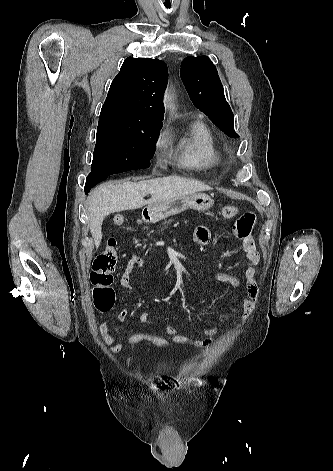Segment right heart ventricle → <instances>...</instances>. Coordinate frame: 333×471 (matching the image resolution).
I'll use <instances>...</instances> for the list:
<instances>
[{
  "label": "right heart ventricle",
  "mask_w": 333,
  "mask_h": 471,
  "mask_svg": "<svg viewBox=\"0 0 333 471\" xmlns=\"http://www.w3.org/2000/svg\"><path fill=\"white\" fill-rule=\"evenodd\" d=\"M180 163L193 169L212 167L220 161L221 154L211 129L202 121L194 122L175 146Z\"/></svg>",
  "instance_id": "e07e8e85"
}]
</instances>
